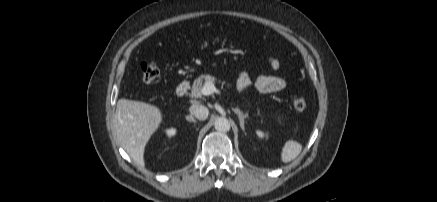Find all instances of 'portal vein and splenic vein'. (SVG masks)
<instances>
[{"label":"portal vein and splenic vein","instance_id":"18ae733b","mask_svg":"<svg viewBox=\"0 0 437 202\" xmlns=\"http://www.w3.org/2000/svg\"><path fill=\"white\" fill-rule=\"evenodd\" d=\"M201 93L207 96L213 93H219V91L216 89L215 85L212 82H207L202 87Z\"/></svg>","mask_w":437,"mask_h":202}]
</instances>
